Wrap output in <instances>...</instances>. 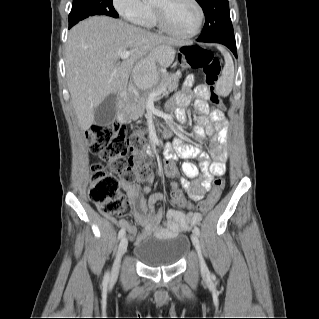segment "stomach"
Instances as JSON below:
<instances>
[{
	"label": "stomach",
	"instance_id": "0dacf381",
	"mask_svg": "<svg viewBox=\"0 0 319 319\" xmlns=\"http://www.w3.org/2000/svg\"><path fill=\"white\" fill-rule=\"evenodd\" d=\"M175 53V49L169 44L155 47L148 60L135 66L133 70L135 84L142 90L155 86L160 78L158 70L170 66L175 58Z\"/></svg>",
	"mask_w": 319,
	"mask_h": 319
}]
</instances>
